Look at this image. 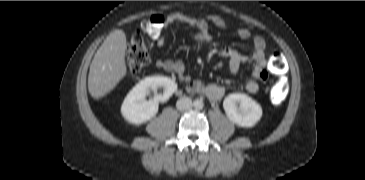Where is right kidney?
Wrapping results in <instances>:
<instances>
[{
	"label": "right kidney",
	"instance_id": "obj_1",
	"mask_svg": "<svg viewBox=\"0 0 365 180\" xmlns=\"http://www.w3.org/2000/svg\"><path fill=\"white\" fill-rule=\"evenodd\" d=\"M159 88L163 89V93L157 94ZM176 90L177 84L169 77H146L127 94L121 106V114L128 123L141 125L155 117L159 102L168 101ZM152 91L154 97L146 100Z\"/></svg>",
	"mask_w": 365,
	"mask_h": 180
}]
</instances>
